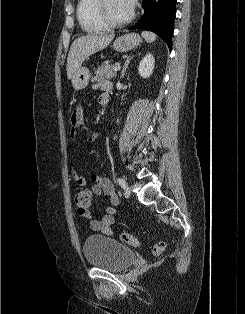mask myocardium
<instances>
[{
    "instance_id": "1",
    "label": "myocardium",
    "mask_w": 245,
    "mask_h": 314,
    "mask_svg": "<svg viewBox=\"0 0 245 314\" xmlns=\"http://www.w3.org/2000/svg\"><path fill=\"white\" fill-rule=\"evenodd\" d=\"M105 2L106 0H97L95 5V13L97 19L105 25L107 28H120L128 25L135 17V10L132 9L131 14L122 21H112L110 20L105 13Z\"/></svg>"
}]
</instances>
